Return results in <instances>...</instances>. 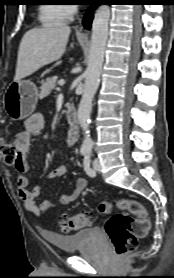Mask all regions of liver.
<instances>
[{
	"label": "liver",
	"instance_id": "obj_1",
	"mask_svg": "<svg viewBox=\"0 0 174 278\" xmlns=\"http://www.w3.org/2000/svg\"><path fill=\"white\" fill-rule=\"evenodd\" d=\"M71 29L67 25L33 28L19 45L14 81H19L41 67L57 61L65 52Z\"/></svg>",
	"mask_w": 174,
	"mask_h": 278
}]
</instances>
